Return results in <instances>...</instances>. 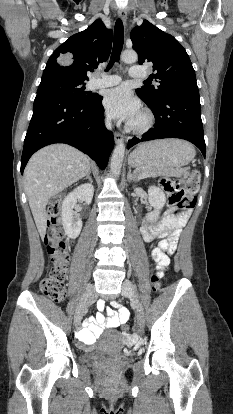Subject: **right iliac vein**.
<instances>
[{"mask_svg":"<svg viewBox=\"0 0 233 414\" xmlns=\"http://www.w3.org/2000/svg\"><path fill=\"white\" fill-rule=\"evenodd\" d=\"M95 299L96 291L94 286L87 287L74 315L75 324H79L81 322L87 308L95 301Z\"/></svg>","mask_w":233,"mask_h":414,"instance_id":"right-iliac-vein-1","label":"right iliac vein"}]
</instances>
